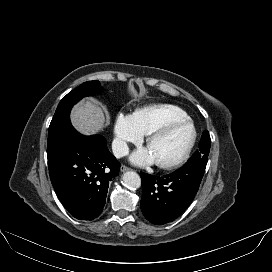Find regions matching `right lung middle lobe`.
<instances>
[{"label":"right lung middle lobe","mask_w":272,"mask_h":272,"mask_svg":"<svg viewBox=\"0 0 272 272\" xmlns=\"http://www.w3.org/2000/svg\"><path fill=\"white\" fill-rule=\"evenodd\" d=\"M101 89L99 81L84 82L60 101L49 126L47 153L57 148L73 128L69 118L73 105L83 97L95 94Z\"/></svg>","instance_id":"obj_1"}]
</instances>
